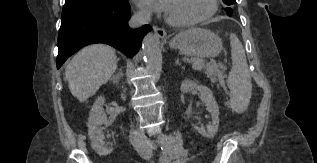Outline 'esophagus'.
<instances>
[{"mask_svg": "<svg viewBox=\"0 0 317 163\" xmlns=\"http://www.w3.org/2000/svg\"><path fill=\"white\" fill-rule=\"evenodd\" d=\"M153 30L159 38L164 39L166 37V31L163 28L153 26Z\"/></svg>", "mask_w": 317, "mask_h": 163, "instance_id": "esophagus-1", "label": "esophagus"}]
</instances>
